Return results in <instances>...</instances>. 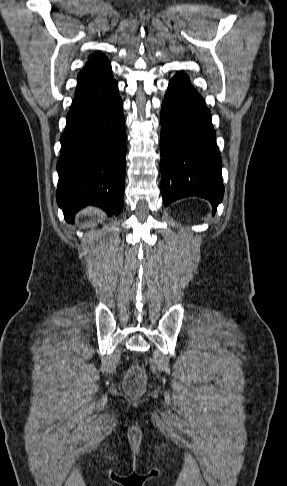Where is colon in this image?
I'll list each match as a JSON object with an SVG mask.
<instances>
[{
  "label": "colon",
  "instance_id": "colon-1",
  "mask_svg": "<svg viewBox=\"0 0 287 486\" xmlns=\"http://www.w3.org/2000/svg\"><path fill=\"white\" fill-rule=\"evenodd\" d=\"M145 386V374L141 367L133 366L129 369L125 380L124 389L131 395L141 393Z\"/></svg>",
  "mask_w": 287,
  "mask_h": 486
}]
</instances>
